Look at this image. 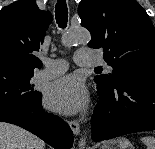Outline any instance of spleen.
<instances>
[{
  "mask_svg": "<svg viewBox=\"0 0 155 149\" xmlns=\"http://www.w3.org/2000/svg\"><path fill=\"white\" fill-rule=\"evenodd\" d=\"M141 141L146 145L147 149H155V137L153 136L142 137Z\"/></svg>",
  "mask_w": 155,
  "mask_h": 149,
  "instance_id": "spleen-1",
  "label": "spleen"
}]
</instances>
